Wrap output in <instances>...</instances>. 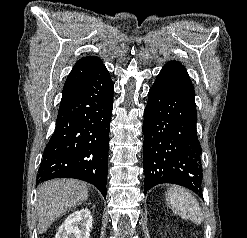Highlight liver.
<instances>
[{
    "label": "liver",
    "instance_id": "obj_1",
    "mask_svg": "<svg viewBox=\"0 0 247 238\" xmlns=\"http://www.w3.org/2000/svg\"><path fill=\"white\" fill-rule=\"evenodd\" d=\"M88 192L83 182L74 179H55L43 183L38 188L36 203L39 233L46 232L66 210L81 205L88 198Z\"/></svg>",
    "mask_w": 247,
    "mask_h": 238
}]
</instances>
